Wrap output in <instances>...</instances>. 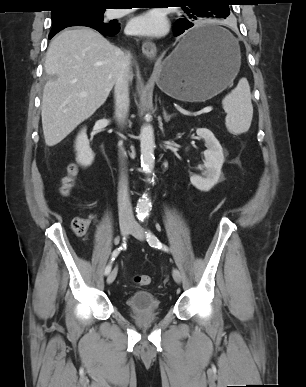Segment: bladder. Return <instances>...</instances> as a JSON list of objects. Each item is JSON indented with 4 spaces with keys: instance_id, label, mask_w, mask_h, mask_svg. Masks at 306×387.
Listing matches in <instances>:
<instances>
[{
    "instance_id": "31cf9c89",
    "label": "bladder",
    "mask_w": 306,
    "mask_h": 387,
    "mask_svg": "<svg viewBox=\"0 0 306 387\" xmlns=\"http://www.w3.org/2000/svg\"><path fill=\"white\" fill-rule=\"evenodd\" d=\"M131 314H160L163 312L161 301L149 291H136L125 300Z\"/></svg>"
}]
</instances>
